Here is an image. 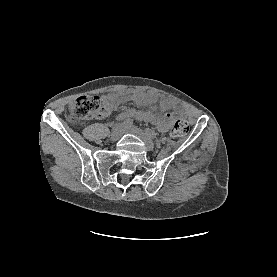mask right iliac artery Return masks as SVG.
Segmentation results:
<instances>
[{
    "label": "right iliac artery",
    "instance_id": "right-iliac-artery-1",
    "mask_svg": "<svg viewBox=\"0 0 277 277\" xmlns=\"http://www.w3.org/2000/svg\"><path fill=\"white\" fill-rule=\"evenodd\" d=\"M119 121H121V119H118ZM125 126H131L133 125V120L128 118V119H125L124 120V123H123Z\"/></svg>",
    "mask_w": 277,
    "mask_h": 277
}]
</instances>
